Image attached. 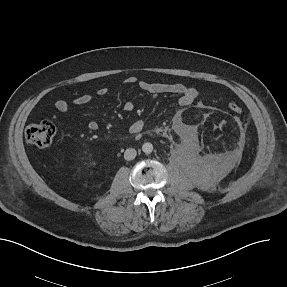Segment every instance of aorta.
<instances>
[{"instance_id": "1", "label": "aorta", "mask_w": 287, "mask_h": 287, "mask_svg": "<svg viewBox=\"0 0 287 287\" xmlns=\"http://www.w3.org/2000/svg\"><path fill=\"white\" fill-rule=\"evenodd\" d=\"M142 151L146 154H150L153 151V145L150 142H146L142 145Z\"/></svg>"}]
</instances>
